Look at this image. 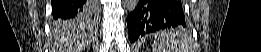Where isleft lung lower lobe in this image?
Segmentation results:
<instances>
[{"label":"left lung lower lobe","mask_w":261,"mask_h":52,"mask_svg":"<svg viewBox=\"0 0 261 52\" xmlns=\"http://www.w3.org/2000/svg\"><path fill=\"white\" fill-rule=\"evenodd\" d=\"M130 42L148 33L185 26L180 0H139L127 17Z\"/></svg>","instance_id":"0a47b994"}]
</instances>
